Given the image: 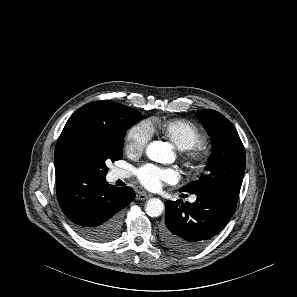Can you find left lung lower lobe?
Segmentation results:
<instances>
[{
	"instance_id": "left-lung-lower-lobe-1",
	"label": "left lung lower lobe",
	"mask_w": 297,
	"mask_h": 297,
	"mask_svg": "<svg viewBox=\"0 0 297 297\" xmlns=\"http://www.w3.org/2000/svg\"><path fill=\"white\" fill-rule=\"evenodd\" d=\"M240 190L210 188L195 193L194 203H165V223L161 240L169 248L184 253L201 249L218 234L235 212Z\"/></svg>"
}]
</instances>
